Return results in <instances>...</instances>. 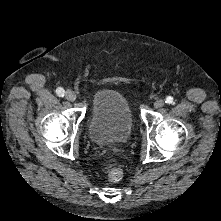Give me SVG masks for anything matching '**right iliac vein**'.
Instances as JSON below:
<instances>
[{
    "label": "right iliac vein",
    "instance_id": "1",
    "mask_svg": "<svg viewBox=\"0 0 221 221\" xmlns=\"http://www.w3.org/2000/svg\"><path fill=\"white\" fill-rule=\"evenodd\" d=\"M65 97H66V99L69 100V101H75V99H76L75 93H74L73 91H71V90H68V91L66 92Z\"/></svg>",
    "mask_w": 221,
    "mask_h": 221
}]
</instances>
